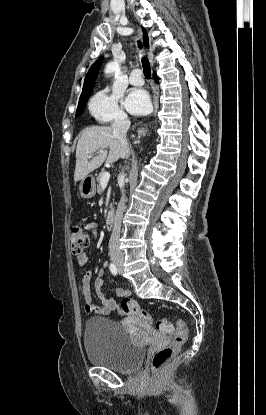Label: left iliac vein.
Returning a JSON list of instances; mask_svg holds the SVG:
<instances>
[{
	"instance_id": "1",
	"label": "left iliac vein",
	"mask_w": 266,
	"mask_h": 415,
	"mask_svg": "<svg viewBox=\"0 0 266 415\" xmlns=\"http://www.w3.org/2000/svg\"><path fill=\"white\" fill-rule=\"evenodd\" d=\"M118 270H119V273L121 274V273H122V268H121V266H119Z\"/></svg>"
}]
</instances>
